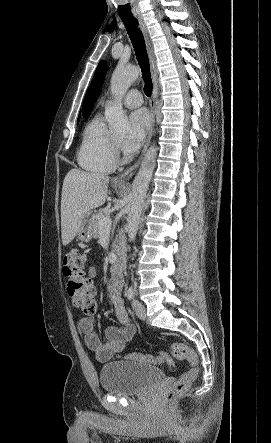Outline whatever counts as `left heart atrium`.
Returning <instances> with one entry per match:
<instances>
[{
  "label": "left heart atrium",
  "instance_id": "1",
  "mask_svg": "<svg viewBox=\"0 0 271 443\" xmlns=\"http://www.w3.org/2000/svg\"><path fill=\"white\" fill-rule=\"evenodd\" d=\"M130 131L122 141L123 150L126 153L138 151L150 129V118L145 109H137L129 115Z\"/></svg>",
  "mask_w": 271,
  "mask_h": 443
}]
</instances>
